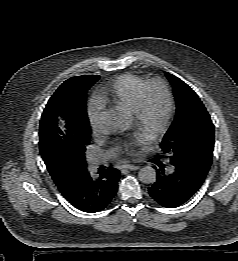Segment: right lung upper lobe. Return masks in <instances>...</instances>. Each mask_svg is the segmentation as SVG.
I'll list each match as a JSON object with an SVG mask.
<instances>
[{"label":"right lung upper lobe","mask_w":238,"mask_h":261,"mask_svg":"<svg viewBox=\"0 0 238 261\" xmlns=\"http://www.w3.org/2000/svg\"><path fill=\"white\" fill-rule=\"evenodd\" d=\"M59 126L61 128V131L66 139L69 141L79 139L80 137H83L86 134V129L78 125L77 123L62 119L59 122ZM83 174L78 175L75 178L72 179H63L60 177L52 176L56 186L60 190V192L63 194L67 192L69 188H71L75 181H77Z\"/></svg>","instance_id":"obj_1"}]
</instances>
